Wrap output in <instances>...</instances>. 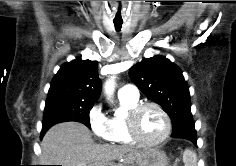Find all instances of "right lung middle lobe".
Masks as SVG:
<instances>
[{
  "label": "right lung middle lobe",
  "instance_id": "1",
  "mask_svg": "<svg viewBox=\"0 0 236 166\" xmlns=\"http://www.w3.org/2000/svg\"><path fill=\"white\" fill-rule=\"evenodd\" d=\"M95 102L83 101L74 98L47 99L42 131H47L52 125L64 121H76L90 128L89 112Z\"/></svg>",
  "mask_w": 236,
  "mask_h": 166
}]
</instances>
